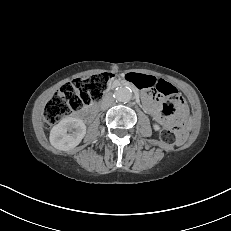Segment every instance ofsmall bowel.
Instances as JSON below:
<instances>
[{"instance_id":"obj_1","label":"small bowel","mask_w":231,"mask_h":231,"mask_svg":"<svg viewBox=\"0 0 231 231\" xmlns=\"http://www.w3.org/2000/svg\"><path fill=\"white\" fill-rule=\"evenodd\" d=\"M131 82L139 89H142V97L145 101V109L157 120L166 124H173L175 120L171 117L163 115V111L167 110L172 106V102H165L163 105L153 100L151 94L147 91H154L158 88L161 82H166L153 75L148 74H137L133 73L129 75ZM175 102L177 106H184V103L180 96L175 95Z\"/></svg>"}]
</instances>
